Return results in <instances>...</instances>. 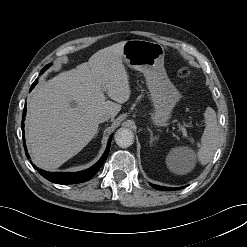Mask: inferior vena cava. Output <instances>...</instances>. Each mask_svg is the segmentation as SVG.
<instances>
[{"label": "inferior vena cava", "instance_id": "1", "mask_svg": "<svg viewBox=\"0 0 247 247\" xmlns=\"http://www.w3.org/2000/svg\"><path fill=\"white\" fill-rule=\"evenodd\" d=\"M111 118V116L109 114H102L98 117V121L99 123L108 121Z\"/></svg>", "mask_w": 247, "mask_h": 247}]
</instances>
